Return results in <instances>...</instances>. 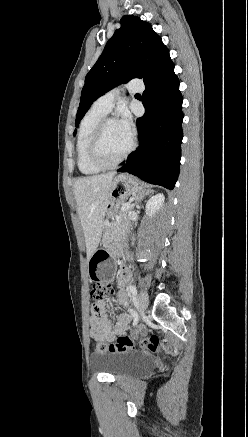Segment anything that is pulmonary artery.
Instances as JSON below:
<instances>
[{
  "label": "pulmonary artery",
  "instance_id": "1",
  "mask_svg": "<svg viewBox=\"0 0 248 437\" xmlns=\"http://www.w3.org/2000/svg\"><path fill=\"white\" fill-rule=\"evenodd\" d=\"M125 88L130 92H141L144 89V85L142 81L138 78L131 79L126 85ZM121 91V87H116L101 97H99L94 103L93 106L97 110H100L104 113H109L115 103V100L119 96Z\"/></svg>",
  "mask_w": 248,
  "mask_h": 437
}]
</instances>
